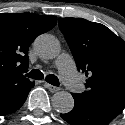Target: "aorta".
<instances>
[{"instance_id":"1","label":"aorta","mask_w":125,"mask_h":125,"mask_svg":"<svg viewBox=\"0 0 125 125\" xmlns=\"http://www.w3.org/2000/svg\"><path fill=\"white\" fill-rule=\"evenodd\" d=\"M34 48L44 59H53L60 53L58 40L49 34H42L34 41ZM52 106L59 113H68L74 107V99L69 92L59 91L52 97Z\"/></svg>"}]
</instances>
